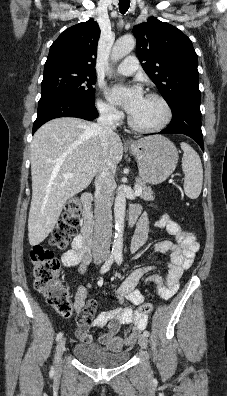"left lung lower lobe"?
<instances>
[{
	"mask_svg": "<svg viewBox=\"0 0 227 396\" xmlns=\"http://www.w3.org/2000/svg\"><path fill=\"white\" fill-rule=\"evenodd\" d=\"M173 117L168 127L157 134H185L204 151L201 131L200 95H182L170 105Z\"/></svg>",
	"mask_w": 227,
	"mask_h": 396,
	"instance_id": "obj_1",
	"label": "left lung lower lobe"
}]
</instances>
